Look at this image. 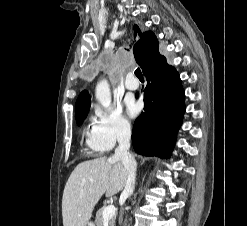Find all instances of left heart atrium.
I'll return each mask as SVG.
<instances>
[{
	"label": "left heart atrium",
	"instance_id": "39dd6f15",
	"mask_svg": "<svg viewBox=\"0 0 247 226\" xmlns=\"http://www.w3.org/2000/svg\"><path fill=\"white\" fill-rule=\"evenodd\" d=\"M127 113L129 114L130 117L136 116V114L138 113V106L133 102H128Z\"/></svg>",
	"mask_w": 247,
	"mask_h": 226
}]
</instances>
